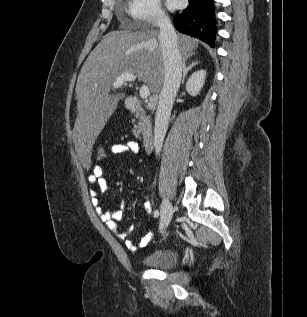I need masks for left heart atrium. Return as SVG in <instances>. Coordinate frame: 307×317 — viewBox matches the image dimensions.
<instances>
[{
  "label": "left heart atrium",
  "instance_id": "39dd6f15",
  "mask_svg": "<svg viewBox=\"0 0 307 317\" xmlns=\"http://www.w3.org/2000/svg\"><path fill=\"white\" fill-rule=\"evenodd\" d=\"M182 3V0H167V5L169 8H178Z\"/></svg>",
  "mask_w": 307,
  "mask_h": 317
}]
</instances>
